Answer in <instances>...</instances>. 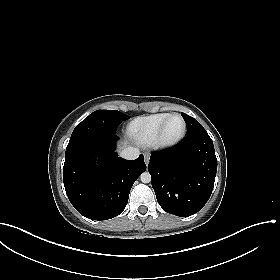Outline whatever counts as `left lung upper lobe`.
Wrapping results in <instances>:
<instances>
[{
	"label": "left lung upper lobe",
	"instance_id": "left-lung-upper-lobe-1",
	"mask_svg": "<svg viewBox=\"0 0 280 280\" xmlns=\"http://www.w3.org/2000/svg\"><path fill=\"white\" fill-rule=\"evenodd\" d=\"M187 124V133L186 137L193 135H206L208 134L206 130L191 116L181 113Z\"/></svg>",
	"mask_w": 280,
	"mask_h": 280
}]
</instances>
